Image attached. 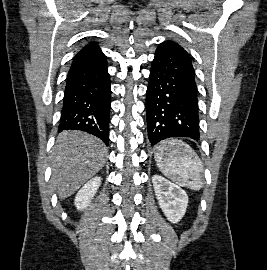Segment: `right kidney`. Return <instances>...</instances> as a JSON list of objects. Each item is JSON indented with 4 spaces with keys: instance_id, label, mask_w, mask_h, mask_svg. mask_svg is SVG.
<instances>
[{
    "instance_id": "obj_1",
    "label": "right kidney",
    "mask_w": 267,
    "mask_h": 270,
    "mask_svg": "<svg viewBox=\"0 0 267 270\" xmlns=\"http://www.w3.org/2000/svg\"><path fill=\"white\" fill-rule=\"evenodd\" d=\"M101 183V177L90 179L77 193L74 204L78 210L86 209L95 196Z\"/></svg>"
}]
</instances>
